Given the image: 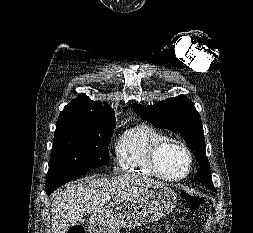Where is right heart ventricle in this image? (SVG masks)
<instances>
[{
	"label": "right heart ventricle",
	"mask_w": 253,
	"mask_h": 233,
	"mask_svg": "<svg viewBox=\"0 0 253 233\" xmlns=\"http://www.w3.org/2000/svg\"><path fill=\"white\" fill-rule=\"evenodd\" d=\"M168 137L151 124L143 123L127 129L119 137L116 146V163L126 172L158 177L149 163L152 149Z\"/></svg>",
	"instance_id": "right-heart-ventricle-1"
}]
</instances>
